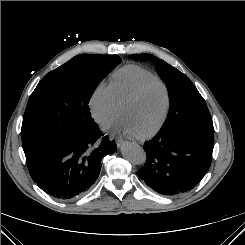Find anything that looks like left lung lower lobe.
Masks as SVG:
<instances>
[{
    "label": "left lung lower lobe",
    "mask_w": 245,
    "mask_h": 245,
    "mask_svg": "<svg viewBox=\"0 0 245 245\" xmlns=\"http://www.w3.org/2000/svg\"><path fill=\"white\" fill-rule=\"evenodd\" d=\"M213 133L192 124L159 131L144 144L147 159L138 171L140 178L163 195L174 196L191 190L210 167Z\"/></svg>",
    "instance_id": "left-lung-lower-lobe-1"
}]
</instances>
